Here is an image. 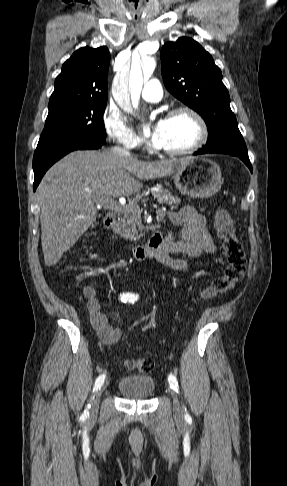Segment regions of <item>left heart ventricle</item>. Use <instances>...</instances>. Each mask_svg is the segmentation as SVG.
<instances>
[{
	"label": "left heart ventricle",
	"instance_id": "left-heart-ventricle-1",
	"mask_svg": "<svg viewBox=\"0 0 287 486\" xmlns=\"http://www.w3.org/2000/svg\"><path fill=\"white\" fill-rule=\"evenodd\" d=\"M198 135L197 125L187 115L164 120L160 148L179 149L191 145Z\"/></svg>",
	"mask_w": 287,
	"mask_h": 486
}]
</instances>
